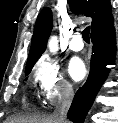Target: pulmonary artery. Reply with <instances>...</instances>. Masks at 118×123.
<instances>
[{
	"label": "pulmonary artery",
	"mask_w": 118,
	"mask_h": 123,
	"mask_svg": "<svg viewBox=\"0 0 118 123\" xmlns=\"http://www.w3.org/2000/svg\"><path fill=\"white\" fill-rule=\"evenodd\" d=\"M83 47L84 44L81 35L79 33L72 34L69 41V48L72 51L79 52L83 49Z\"/></svg>",
	"instance_id": "obj_1"
}]
</instances>
